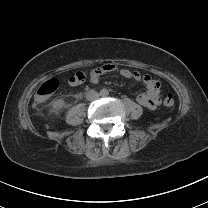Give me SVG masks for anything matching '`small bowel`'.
I'll use <instances>...</instances> for the list:
<instances>
[{"label":"small bowel","mask_w":208,"mask_h":208,"mask_svg":"<svg viewBox=\"0 0 208 208\" xmlns=\"http://www.w3.org/2000/svg\"><path fill=\"white\" fill-rule=\"evenodd\" d=\"M117 69V63H107L103 67H95L94 73L91 74V81L97 83L102 75L113 72ZM120 74L124 77L135 79L146 85L147 91L143 94H140L137 97L138 103H140L148 109H153L159 104L161 97V89L160 83L158 81H155L152 77H150L147 74L130 71L128 69H121ZM71 85L77 84L71 83Z\"/></svg>","instance_id":"c3829d8e"}]
</instances>
